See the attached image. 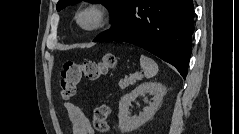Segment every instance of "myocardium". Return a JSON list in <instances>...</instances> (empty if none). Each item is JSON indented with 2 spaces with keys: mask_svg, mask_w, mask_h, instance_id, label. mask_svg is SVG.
<instances>
[{
  "mask_svg": "<svg viewBox=\"0 0 239 134\" xmlns=\"http://www.w3.org/2000/svg\"><path fill=\"white\" fill-rule=\"evenodd\" d=\"M90 16L89 22L85 18ZM77 26L85 32H94L104 27L109 21L107 10L100 4H89L81 8L75 17Z\"/></svg>",
  "mask_w": 239,
  "mask_h": 134,
  "instance_id": "obj_1",
  "label": "myocardium"
}]
</instances>
